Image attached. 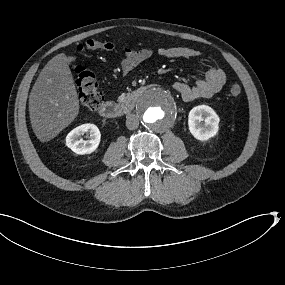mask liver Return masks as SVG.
<instances>
[{
  "mask_svg": "<svg viewBox=\"0 0 285 285\" xmlns=\"http://www.w3.org/2000/svg\"><path fill=\"white\" fill-rule=\"evenodd\" d=\"M64 53L40 72L29 96L32 129L41 142L56 137L79 113L78 94Z\"/></svg>",
  "mask_w": 285,
  "mask_h": 285,
  "instance_id": "obj_1",
  "label": "liver"
}]
</instances>
